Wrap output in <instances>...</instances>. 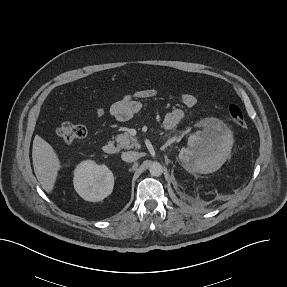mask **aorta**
<instances>
[{"mask_svg":"<svg viewBox=\"0 0 287 287\" xmlns=\"http://www.w3.org/2000/svg\"><path fill=\"white\" fill-rule=\"evenodd\" d=\"M149 172L152 176L159 177L163 173V167L159 162H153L150 165Z\"/></svg>","mask_w":287,"mask_h":287,"instance_id":"aorta-1","label":"aorta"}]
</instances>
